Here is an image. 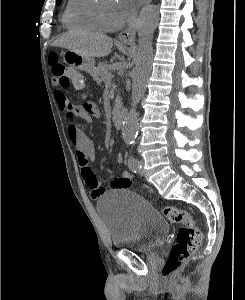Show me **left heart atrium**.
Instances as JSON below:
<instances>
[{"label":"left heart atrium","mask_w":245,"mask_h":300,"mask_svg":"<svg viewBox=\"0 0 245 300\" xmlns=\"http://www.w3.org/2000/svg\"><path fill=\"white\" fill-rule=\"evenodd\" d=\"M141 0H120L119 2V10L121 13V16L124 19H127L131 16L133 13L135 7Z\"/></svg>","instance_id":"obj_1"}]
</instances>
